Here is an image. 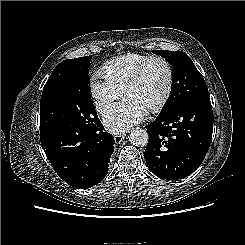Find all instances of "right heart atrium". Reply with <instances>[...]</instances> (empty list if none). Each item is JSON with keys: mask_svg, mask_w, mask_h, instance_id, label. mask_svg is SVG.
<instances>
[{"mask_svg": "<svg viewBox=\"0 0 245 245\" xmlns=\"http://www.w3.org/2000/svg\"><path fill=\"white\" fill-rule=\"evenodd\" d=\"M89 92L96 110L100 113L104 112L123 94V90L112 84L101 71H94L90 75Z\"/></svg>", "mask_w": 245, "mask_h": 245, "instance_id": "obj_1", "label": "right heart atrium"}]
</instances>
